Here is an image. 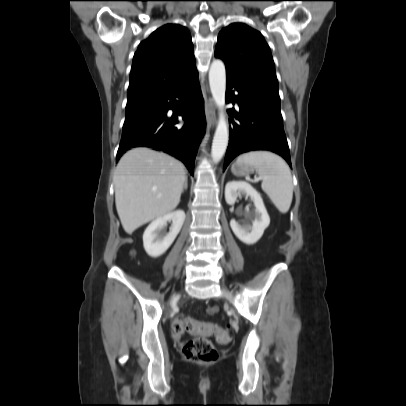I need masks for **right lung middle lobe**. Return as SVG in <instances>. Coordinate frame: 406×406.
<instances>
[{
  "instance_id": "obj_1",
  "label": "right lung middle lobe",
  "mask_w": 406,
  "mask_h": 406,
  "mask_svg": "<svg viewBox=\"0 0 406 406\" xmlns=\"http://www.w3.org/2000/svg\"><path fill=\"white\" fill-rule=\"evenodd\" d=\"M155 100H148L126 106L123 129L136 126L155 115Z\"/></svg>"
}]
</instances>
